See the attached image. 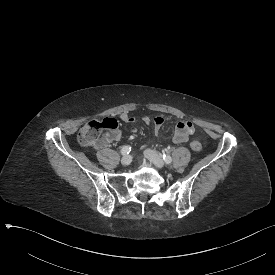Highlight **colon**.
Here are the masks:
<instances>
[{
    "mask_svg": "<svg viewBox=\"0 0 275 275\" xmlns=\"http://www.w3.org/2000/svg\"><path fill=\"white\" fill-rule=\"evenodd\" d=\"M121 130L117 122L112 118L103 120H91L86 122L78 133V142L81 146H98L101 143L110 144L118 140ZM194 151L202 149V143L198 140L191 142Z\"/></svg>",
    "mask_w": 275,
    "mask_h": 275,
    "instance_id": "1",
    "label": "colon"
}]
</instances>
